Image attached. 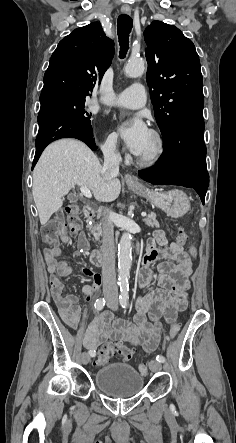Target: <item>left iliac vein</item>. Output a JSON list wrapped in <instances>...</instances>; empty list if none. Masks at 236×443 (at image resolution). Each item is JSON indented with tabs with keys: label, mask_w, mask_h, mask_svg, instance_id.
<instances>
[{
	"label": "left iliac vein",
	"mask_w": 236,
	"mask_h": 443,
	"mask_svg": "<svg viewBox=\"0 0 236 443\" xmlns=\"http://www.w3.org/2000/svg\"><path fill=\"white\" fill-rule=\"evenodd\" d=\"M111 308H112L113 310H117V306H116V305H112ZM149 368H150V370L153 371V372H158V371L161 370L162 365H161V363L158 362L157 360H154V361H150V362H149Z\"/></svg>",
	"instance_id": "left-iliac-vein-1"
}]
</instances>
